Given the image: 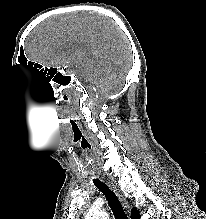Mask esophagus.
<instances>
[{"instance_id": "1", "label": "esophagus", "mask_w": 206, "mask_h": 219, "mask_svg": "<svg viewBox=\"0 0 206 219\" xmlns=\"http://www.w3.org/2000/svg\"><path fill=\"white\" fill-rule=\"evenodd\" d=\"M109 186L114 190L116 195L118 196L119 200L121 201L124 208L127 210V212L130 211V205L126 198L121 194V192L117 189L116 185L112 182H108Z\"/></svg>"}]
</instances>
